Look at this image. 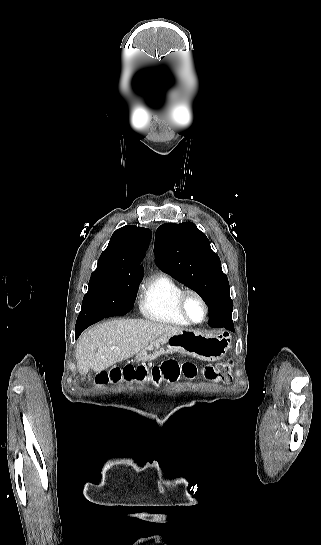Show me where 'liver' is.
<instances>
[{"mask_svg": "<svg viewBox=\"0 0 321 545\" xmlns=\"http://www.w3.org/2000/svg\"><path fill=\"white\" fill-rule=\"evenodd\" d=\"M176 331L182 329L144 319H119L95 325L84 331L77 341V369L80 375H87L90 369L100 373L119 361L130 359L162 335Z\"/></svg>", "mask_w": 321, "mask_h": 545, "instance_id": "obj_1", "label": "liver"}]
</instances>
